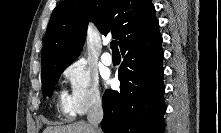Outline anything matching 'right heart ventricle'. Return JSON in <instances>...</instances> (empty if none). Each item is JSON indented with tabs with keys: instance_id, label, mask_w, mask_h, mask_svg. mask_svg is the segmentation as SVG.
I'll return each mask as SVG.
<instances>
[{
	"instance_id": "e07e8e85",
	"label": "right heart ventricle",
	"mask_w": 221,
	"mask_h": 133,
	"mask_svg": "<svg viewBox=\"0 0 221 133\" xmlns=\"http://www.w3.org/2000/svg\"><path fill=\"white\" fill-rule=\"evenodd\" d=\"M59 108L61 110V112L65 115H72L73 114V111L70 107V104H69V100H68V97L62 93L59 97Z\"/></svg>"
}]
</instances>
